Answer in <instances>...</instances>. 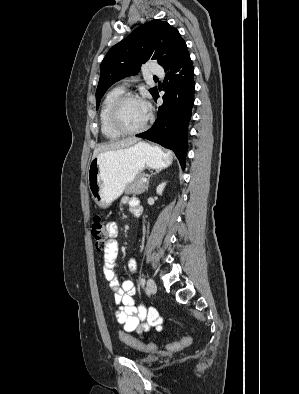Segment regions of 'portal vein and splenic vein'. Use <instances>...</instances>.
I'll list each match as a JSON object with an SVG mask.
<instances>
[{"instance_id":"18ae733b","label":"portal vein and splenic vein","mask_w":299,"mask_h":394,"mask_svg":"<svg viewBox=\"0 0 299 394\" xmlns=\"http://www.w3.org/2000/svg\"><path fill=\"white\" fill-rule=\"evenodd\" d=\"M147 181H148L147 178L143 179V183H147Z\"/></svg>"}]
</instances>
